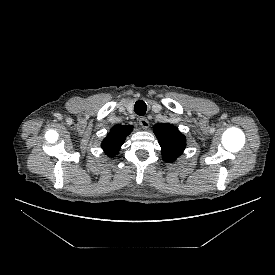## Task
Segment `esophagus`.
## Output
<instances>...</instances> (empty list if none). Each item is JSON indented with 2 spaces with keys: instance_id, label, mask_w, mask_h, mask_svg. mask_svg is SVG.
<instances>
[{
  "instance_id": "obj_1",
  "label": "esophagus",
  "mask_w": 275,
  "mask_h": 275,
  "mask_svg": "<svg viewBox=\"0 0 275 275\" xmlns=\"http://www.w3.org/2000/svg\"><path fill=\"white\" fill-rule=\"evenodd\" d=\"M139 124L142 128L147 129L149 127V121L145 117L139 118Z\"/></svg>"
}]
</instances>
